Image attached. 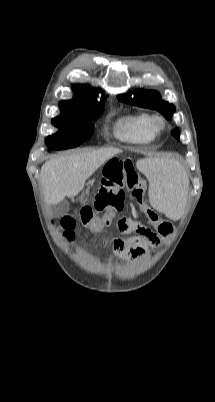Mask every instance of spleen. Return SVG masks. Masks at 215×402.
I'll use <instances>...</instances> for the list:
<instances>
[{
    "label": "spleen",
    "instance_id": "spleen-1",
    "mask_svg": "<svg viewBox=\"0 0 215 402\" xmlns=\"http://www.w3.org/2000/svg\"><path fill=\"white\" fill-rule=\"evenodd\" d=\"M138 169L150 182L151 208L163 211L169 218L180 220L186 214L184 194L188 191L186 175L175 162L158 159H143L137 162Z\"/></svg>",
    "mask_w": 215,
    "mask_h": 402
}]
</instances>
